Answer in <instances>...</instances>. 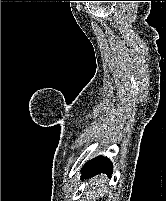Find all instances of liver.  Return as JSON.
<instances>
[{
    "mask_svg": "<svg viewBox=\"0 0 166 201\" xmlns=\"http://www.w3.org/2000/svg\"><path fill=\"white\" fill-rule=\"evenodd\" d=\"M106 182L107 178L104 174L92 178L90 182V190L87 192V196H89L90 199H92L94 195L99 196V194L103 192Z\"/></svg>",
    "mask_w": 166,
    "mask_h": 201,
    "instance_id": "liver-1",
    "label": "liver"
}]
</instances>
